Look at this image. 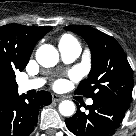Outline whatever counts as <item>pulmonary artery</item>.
<instances>
[{"label":"pulmonary artery","mask_w":136,"mask_h":136,"mask_svg":"<svg viewBox=\"0 0 136 136\" xmlns=\"http://www.w3.org/2000/svg\"><path fill=\"white\" fill-rule=\"evenodd\" d=\"M59 51L61 54V58L66 63H71L74 60H76L80 53H81V47L78 43H59ZM44 84V81L42 79H33V80H26L22 81L19 84V89L22 92H26L33 89H38ZM88 105L93 104V100L89 99L87 101Z\"/></svg>","instance_id":"obj_1"}]
</instances>
